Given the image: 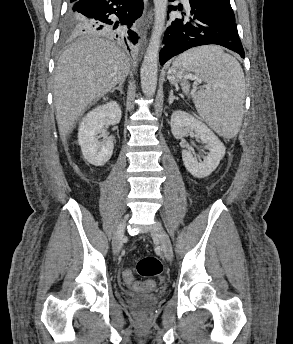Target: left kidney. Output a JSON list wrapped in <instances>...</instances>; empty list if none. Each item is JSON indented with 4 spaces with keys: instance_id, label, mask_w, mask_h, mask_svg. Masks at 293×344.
I'll use <instances>...</instances> for the list:
<instances>
[{
    "instance_id": "1",
    "label": "left kidney",
    "mask_w": 293,
    "mask_h": 344,
    "mask_svg": "<svg viewBox=\"0 0 293 344\" xmlns=\"http://www.w3.org/2000/svg\"><path fill=\"white\" fill-rule=\"evenodd\" d=\"M171 131L176 139H182L190 131L205 143L209 153L203 161H198L188 150L182 151V159L186 169L196 178L209 176L219 165L225 155V146L219 138L199 119L185 111H175L171 115Z\"/></svg>"
}]
</instances>
